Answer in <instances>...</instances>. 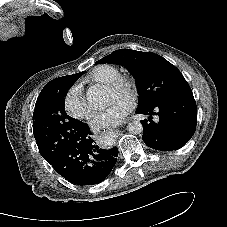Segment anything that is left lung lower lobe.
I'll return each instance as SVG.
<instances>
[{"mask_svg":"<svg viewBox=\"0 0 227 227\" xmlns=\"http://www.w3.org/2000/svg\"><path fill=\"white\" fill-rule=\"evenodd\" d=\"M137 114L148 115L141 121L143 141L150 148L171 151L183 147L193 136L197 124V106L193 96L179 97L140 108ZM158 115L159 121H153Z\"/></svg>","mask_w":227,"mask_h":227,"instance_id":"1","label":"left lung lower lobe"}]
</instances>
